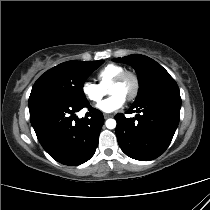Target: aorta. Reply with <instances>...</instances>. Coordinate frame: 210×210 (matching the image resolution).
<instances>
[{
  "label": "aorta",
  "mask_w": 210,
  "mask_h": 210,
  "mask_svg": "<svg viewBox=\"0 0 210 210\" xmlns=\"http://www.w3.org/2000/svg\"><path fill=\"white\" fill-rule=\"evenodd\" d=\"M105 124L108 129H114L116 127V121L114 119H108Z\"/></svg>",
  "instance_id": "obj_1"
}]
</instances>
